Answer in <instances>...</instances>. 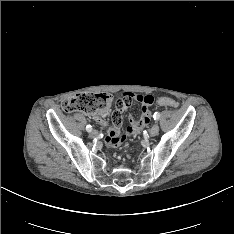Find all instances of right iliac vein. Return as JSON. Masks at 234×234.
<instances>
[{
  "label": "right iliac vein",
  "instance_id": "63e3f726",
  "mask_svg": "<svg viewBox=\"0 0 234 234\" xmlns=\"http://www.w3.org/2000/svg\"><path fill=\"white\" fill-rule=\"evenodd\" d=\"M97 136H98V132H97L96 130H92V131L90 132V137L95 138V137H97Z\"/></svg>",
  "mask_w": 234,
  "mask_h": 234
}]
</instances>
